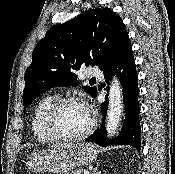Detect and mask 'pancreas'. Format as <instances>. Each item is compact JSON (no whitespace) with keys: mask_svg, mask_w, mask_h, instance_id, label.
<instances>
[{"mask_svg":"<svg viewBox=\"0 0 175 174\" xmlns=\"http://www.w3.org/2000/svg\"><path fill=\"white\" fill-rule=\"evenodd\" d=\"M71 174H83V170L82 169H77V170L72 171Z\"/></svg>","mask_w":175,"mask_h":174,"instance_id":"obj_1","label":"pancreas"}]
</instances>
